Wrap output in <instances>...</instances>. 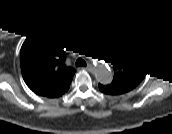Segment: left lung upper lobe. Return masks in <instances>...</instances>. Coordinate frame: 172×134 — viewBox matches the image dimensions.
Segmentation results:
<instances>
[{"label": "left lung upper lobe", "mask_w": 172, "mask_h": 134, "mask_svg": "<svg viewBox=\"0 0 172 134\" xmlns=\"http://www.w3.org/2000/svg\"><path fill=\"white\" fill-rule=\"evenodd\" d=\"M108 56L114 70L113 81L109 85L99 84L102 92L119 95L138 86L148 70L144 53L131 41L115 38L108 44Z\"/></svg>", "instance_id": "left-lung-upper-lobe-1"}]
</instances>
